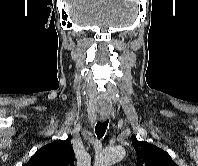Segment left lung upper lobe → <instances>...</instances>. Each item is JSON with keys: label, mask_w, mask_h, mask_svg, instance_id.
<instances>
[{"label": "left lung upper lobe", "mask_w": 198, "mask_h": 166, "mask_svg": "<svg viewBox=\"0 0 198 166\" xmlns=\"http://www.w3.org/2000/svg\"><path fill=\"white\" fill-rule=\"evenodd\" d=\"M133 147L137 153V166H177L167 152L155 145L134 138Z\"/></svg>", "instance_id": "1"}]
</instances>
